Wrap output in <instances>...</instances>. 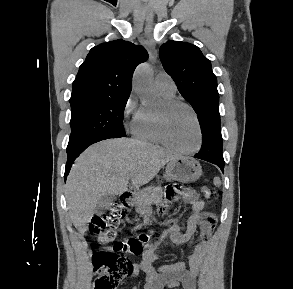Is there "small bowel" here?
Masks as SVG:
<instances>
[{
    "label": "small bowel",
    "mask_w": 293,
    "mask_h": 289,
    "mask_svg": "<svg viewBox=\"0 0 293 289\" xmlns=\"http://www.w3.org/2000/svg\"><path fill=\"white\" fill-rule=\"evenodd\" d=\"M185 199L192 207L186 226L182 227L176 222L170 224L162 232L161 239L169 237L174 244L182 245L190 241L197 227L200 228V239L183 261L160 267L154 266L158 255L153 248L149 249L138 265V270L145 278L144 289H197L196 280L206 254L207 241L213 231L214 215L204 211V202L196 193L187 192Z\"/></svg>",
    "instance_id": "c3829d8e"
}]
</instances>
